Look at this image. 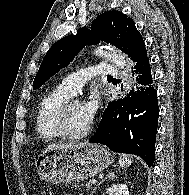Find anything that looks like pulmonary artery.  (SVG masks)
<instances>
[{"label":"pulmonary artery","instance_id":"pulmonary-artery-1","mask_svg":"<svg viewBox=\"0 0 189 195\" xmlns=\"http://www.w3.org/2000/svg\"><path fill=\"white\" fill-rule=\"evenodd\" d=\"M93 68H98V71H93ZM110 64H98L95 67H89L87 69H82L76 72H73L66 78H64L60 86L65 89L71 95H76L81 87L94 76H103L105 74L111 73Z\"/></svg>","mask_w":189,"mask_h":195}]
</instances>
